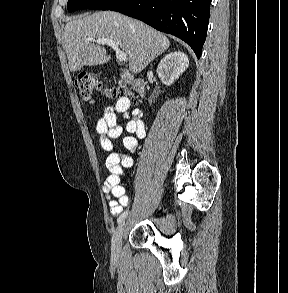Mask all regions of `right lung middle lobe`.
Instances as JSON below:
<instances>
[{"label": "right lung middle lobe", "mask_w": 288, "mask_h": 293, "mask_svg": "<svg viewBox=\"0 0 288 293\" xmlns=\"http://www.w3.org/2000/svg\"><path fill=\"white\" fill-rule=\"evenodd\" d=\"M123 0H68L67 9L74 12L79 9L109 10Z\"/></svg>", "instance_id": "right-lung-middle-lobe-1"}]
</instances>
